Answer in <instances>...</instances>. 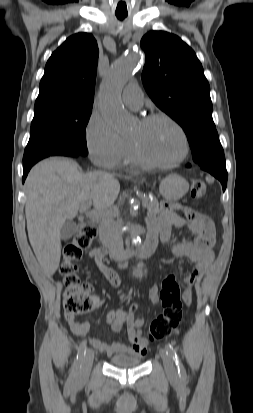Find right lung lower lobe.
Listing matches in <instances>:
<instances>
[{
	"mask_svg": "<svg viewBox=\"0 0 253 413\" xmlns=\"http://www.w3.org/2000/svg\"><path fill=\"white\" fill-rule=\"evenodd\" d=\"M59 155H62V156H71V157L81 156V154H79V153H74V152L62 153V154H59ZM41 159H43V158L35 159V160H30V161H26V162L23 163V179H22L23 182L25 181V178H26L29 170L31 169V167H32L35 163H37L38 161H40Z\"/></svg>",
	"mask_w": 253,
	"mask_h": 413,
	"instance_id": "1",
	"label": "right lung lower lobe"
}]
</instances>
